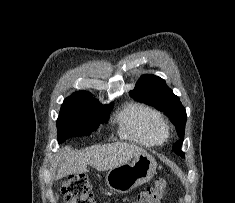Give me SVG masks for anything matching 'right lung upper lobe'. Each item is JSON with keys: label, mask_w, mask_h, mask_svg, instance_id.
I'll use <instances>...</instances> for the list:
<instances>
[{"label": "right lung upper lobe", "mask_w": 235, "mask_h": 203, "mask_svg": "<svg viewBox=\"0 0 235 203\" xmlns=\"http://www.w3.org/2000/svg\"><path fill=\"white\" fill-rule=\"evenodd\" d=\"M76 93H88V94H90L89 92H86V91H79V92H76Z\"/></svg>", "instance_id": "right-lung-upper-lobe-1"}]
</instances>
